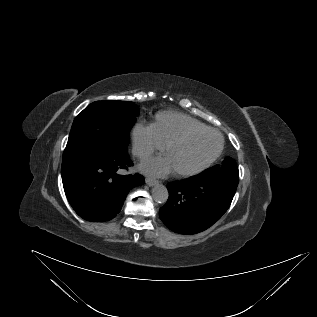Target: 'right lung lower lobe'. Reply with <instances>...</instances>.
Instances as JSON below:
<instances>
[{
	"label": "right lung lower lobe",
	"instance_id": "98d812e1",
	"mask_svg": "<svg viewBox=\"0 0 317 317\" xmlns=\"http://www.w3.org/2000/svg\"><path fill=\"white\" fill-rule=\"evenodd\" d=\"M133 163L127 152L100 155L62 170L65 194L76 213L85 220L103 222L121 210L128 192L142 185L140 174L120 175Z\"/></svg>",
	"mask_w": 317,
	"mask_h": 317
}]
</instances>
